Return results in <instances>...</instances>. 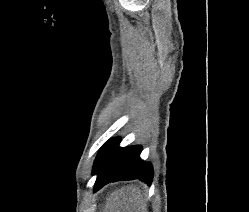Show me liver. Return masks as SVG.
<instances>
[{
  "mask_svg": "<svg viewBox=\"0 0 249 212\" xmlns=\"http://www.w3.org/2000/svg\"><path fill=\"white\" fill-rule=\"evenodd\" d=\"M103 212H147V206L140 188L129 184L109 194Z\"/></svg>",
  "mask_w": 249,
  "mask_h": 212,
  "instance_id": "liver-1",
  "label": "liver"
}]
</instances>
